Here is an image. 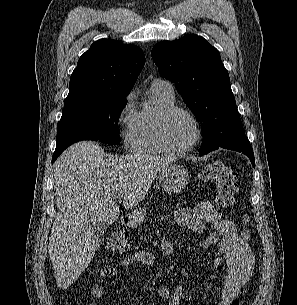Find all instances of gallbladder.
<instances>
[{"instance_id":"1","label":"gallbladder","mask_w":297,"mask_h":305,"mask_svg":"<svg viewBox=\"0 0 297 305\" xmlns=\"http://www.w3.org/2000/svg\"><path fill=\"white\" fill-rule=\"evenodd\" d=\"M104 231H105L104 222H97L93 226V235L96 237H100L101 235H103Z\"/></svg>"}]
</instances>
